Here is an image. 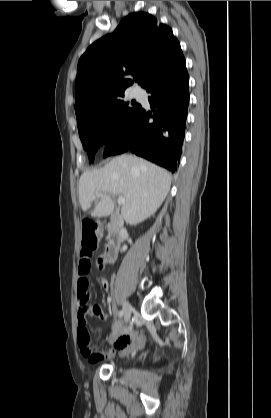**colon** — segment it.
<instances>
[{"label": "colon", "mask_w": 271, "mask_h": 418, "mask_svg": "<svg viewBox=\"0 0 271 418\" xmlns=\"http://www.w3.org/2000/svg\"><path fill=\"white\" fill-rule=\"evenodd\" d=\"M99 232L100 228L96 222L88 221L83 224L81 254L88 260L97 247ZM79 341L84 346H91L89 330L88 328H84L82 325L79 328Z\"/></svg>", "instance_id": "obj_1"}]
</instances>
